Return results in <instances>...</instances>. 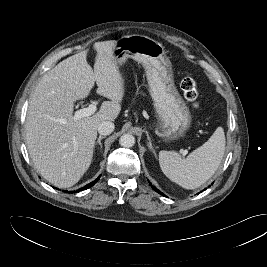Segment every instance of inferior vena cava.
<instances>
[{
  "mask_svg": "<svg viewBox=\"0 0 267 267\" xmlns=\"http://www.w3.org/2000/svg\"><path fill=\"white\" fill-rule=\"evenodd\" d=\"M114 123H112L111 121H103L99 127H98V132L100 135H109L114 131Z\"/></svg>",
  "mask_w": 267,
  "mask_h": 267,
  "instance_id": "602c4592",
  "label": "inferior vena cava"
}]
</instances>
